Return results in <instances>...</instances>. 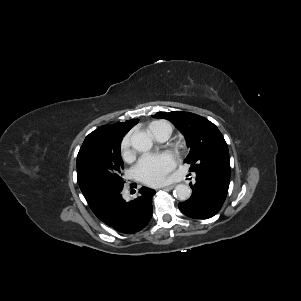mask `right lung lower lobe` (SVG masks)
<instances>
[{"mask_svg":"<svg viewBox=\"0 0 301 301\" xmlns=\"http://www.w3.org/2000/svg\"><path fill=\"white\" fill-rule=\"evenodd\" d=\"M121 190L107 197L94 213L101 221L118 232L134 234L142 230L152 217V196L155 191L142 187L138 198L126 202Z\"/></svg>","mask_w":301,"mask_h":301,"instance_id":"right-lung-lower-lobe-1","label":"right lung lower lobe"}]
</instances>
